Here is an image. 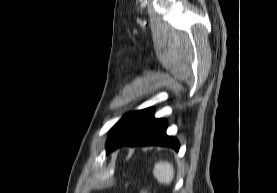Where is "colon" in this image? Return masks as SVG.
<instances>
[{
    "label": "colon",
    "instance_id": "5ec220e1",
    "mask_svg": "<svg viewBox=\"0 0 277 193\" xmlns=\"http://www.w3.org/2000/svg\"><path fill=\"white\" fill-rule=\"evenodd\" d=\"M138 191L139 193H151L146 186H141Z\"/></svg>",
    "mask_w": 277,
    "mask_h": 193
}]
</instances>
